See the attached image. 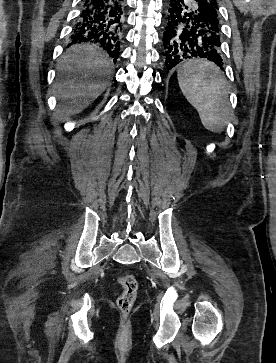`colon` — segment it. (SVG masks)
Returning <instances> with one entry per match:
<instances>
[{"mask_svg":"<svg viewBox=\"0 0 276 363\" xmlns=\"http://www.w3.org/2000/svg\"><path fill=\"white\" fill-rule=\"evenodd\" d=\"M118 282L122 290L116 303L122 316L126 317L130 314L136 300L138 282L132 274H122L119 276Z\"/></svg>","mask_w":276,"mask_h":363,"instance_id":"5ec220e1","label":"colon"}]
</instances>
